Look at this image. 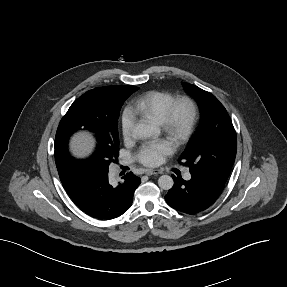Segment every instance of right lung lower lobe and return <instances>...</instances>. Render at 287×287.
<instances>
[{
    "mask_svg": "<svg viewBox=\"0 0 287 287\" xmlns=\"http://www.w3.org/2000/svg\"><path fill=\"white\" fill-rule=\"evenodd\" d=\"M57 169L64 189L75 204L86 214L100 220L114 219L126 212L141 183V179L132 172L124 176L123 182L112 186L108 172Z\"/></svg>",
    "mask_w": 287,
    "mask_h": 287,
    "instance_id": "right-lung-lower-lobe-1",
    "label": "right lung lower lobe"
}]
</instances>
